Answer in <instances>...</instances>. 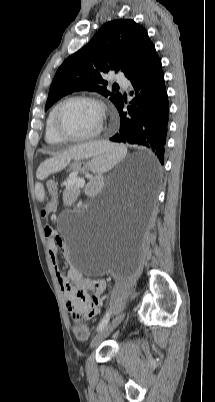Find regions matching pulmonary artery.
<instances>
[{
  "mask_svg": "<svg viewBox=\"0 0 215 402\" xmlns=\"http://www.w3.org/2000/svg\"><path fill=\"white\" fill-rule=\"evenodd\" d=\"M115 81H116L117 83H119L120 85H123V86H127V85H128V80H127L123 75H121V74L116 75Z\"/></svg>",
  "mask_w": 215,
  "mask_h": 402,
  "instance_id": "e3ab8cb5",
  "label": "pulmonary artery"
}]
</instances>
